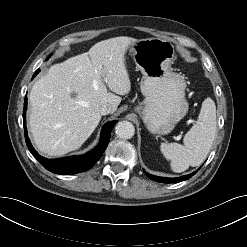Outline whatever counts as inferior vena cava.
<instances>
[{"mask_svg": "<svg viewBox=\"0 0 247 247\" xmlns=\"http://www.w3.org/2000/svg\"><path fill=\"white\" fill-rule=\"evenodd\" d=\"M99 111L101 115H107L113 112V108L109 104H104L100 107Z\"/></svg>", "mask_w": 247, "mask_h": 247, "instance_id": "inferior-vena-cava-1", "label": "inferior vena cava"}]
</instances>
